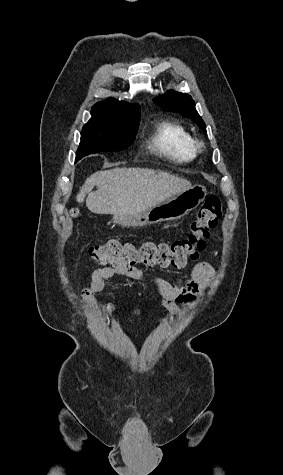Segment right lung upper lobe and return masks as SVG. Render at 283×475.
Returning <instances> with one entry per match:
<instances>
[{"instance_id":"1","label":"right lung upper lobe","mask_w":283,"mask_h":475,"mask_svg":"<svg viewBox=\"0 0 283 475\" xmlns=\"http://www.w3.org/2000/svg\"><path fill=\"white\" fill-rule=\"evenodd\" d=\"M138 105H130L128 103H125L123 101L119 102L118 100L114 98H108L102 102L96 103L94 107H107V108H112V107H135Z\"/></svg>"}]
</instances>
